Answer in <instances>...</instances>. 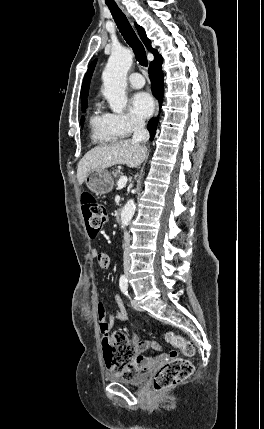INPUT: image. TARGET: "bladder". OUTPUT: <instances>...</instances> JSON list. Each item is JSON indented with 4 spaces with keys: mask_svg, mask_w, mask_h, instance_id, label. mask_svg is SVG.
Wrapping results in <instances>:
<instances>
[{
    "mask_svg": "<svg viewBox=\"0 0 264 429\" xmlns=\"http://www.w3.org/2000/svg\"><path fill=\"white\" fill-rule=\"evenodd\" d=\"M148 376L149 374L147 372H142V373H137L132 377H123V376L113 375V374H109L107 377L110 381L118 384H122L126 386H139L147 380Z\"/></svg>",
    "mask_w": 264,
    "mask_h": 429,
    "instance_id": "31cf9c89",
    "label": "bladder"
}]
</instances>
